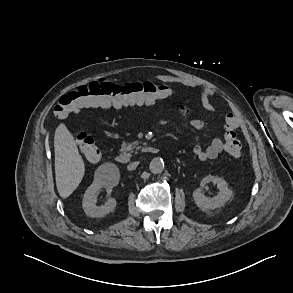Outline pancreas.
I'll return each mask as SVG.
<instances>
[{"instance_id": "cf45deb5", "label": "pancreas", "mask_w": 293, "mask_h": 293, "mask_svg": "<svg viewBox=\"0 0 293 293\" xmlns=\"http://www.w3.org/2000/svg\"><path fill=\"white\" fill-rule=\"evenodd\" d=\"M140 148V146H137V142L123 143L121 151L132 152L133 149L139 150Z\"/></svg>"}]
</instances>
